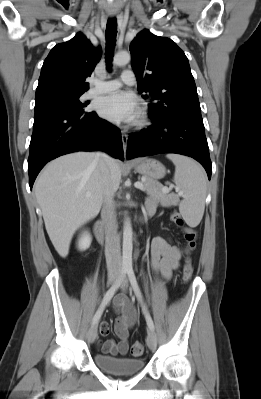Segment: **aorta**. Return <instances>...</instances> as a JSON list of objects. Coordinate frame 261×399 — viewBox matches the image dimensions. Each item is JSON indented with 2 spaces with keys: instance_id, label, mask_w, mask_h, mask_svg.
Here are the masks:
<instances>
[{
  "instance_id": "aorta-1",
  "label": "aorta",
  "mask_w": 261,
  "mask_h": 399,
  "mask_svg": "<svg viewBox=\"0 0 261 399\" xmlns=\"http://www.w3.org/2000/svg\"><path fill=\"white\" fill-rule=\"evenodd\" d=\"M131 56L128 52L117 53L113 58V64L116 66H123L130 62ZM133 231L131 221L129 218L124 220L123 227V265L130 267L132 265V250H133Z\"/></svg>"
}]
</instances>
